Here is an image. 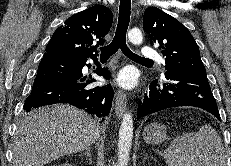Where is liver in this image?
I'll return each mask as SVG.
<instances>
[{
  "instance_id": "1",
  "label": "liver",
  "mask_w": 231,
  "mask_h": 166,
  "mask_svg": "<svg viewBox=\"0 0 231 166\" xmlns=\"http://www.w3.org/2000/svg\"><path fill=\"white\" fill-rule=\"evenodd\" d=\"M97 135L91 116L70 105L33 110L21 120L14 135L13 166H43L89 148Z\"/></svg>"
}]
</instances>
